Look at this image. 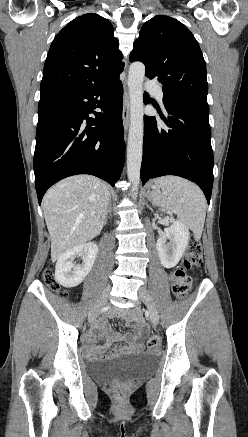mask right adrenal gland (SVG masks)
<instances>
[{
    "mask_svg": "<svg viewBox=\"0 0 248 437\" xmlns=\"http://www.w3.org/2000/svg\"><path fill=\"white\" fill-rule=\"evenodd\" d=\"M108 215H111V202L109 203L108 208H107L105 224L107 223Z\"/></svg>",
    "mask_w": 248,
    "mask_h": 437,
    "instance_id": "1",
    "label": "right adrenal gland"
}]
</instances>
